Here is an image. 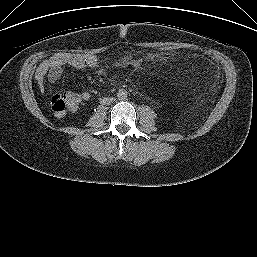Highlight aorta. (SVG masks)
I'll list each match as a JSON object with an SVG mask.
<instances>
[{"label":"aorta","mask_w":257,"mask_h":257,"mask_svg":"<svg viewBox=\"0 0 257 257\" xmlns=\"http://www.w3.org/2000/svg\"><path fill=\"white\" fill-rule=\"evenodd\" d=\"M117 97H118L119 100L124 101L128 97V92L125 89H120L117 92Z\"/></svg>","instance_id":"aorta-1"}]
</instances>
